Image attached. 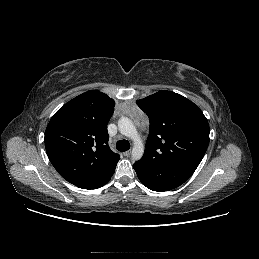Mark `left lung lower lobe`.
<instances>
[{"mask_svg": "<svg viewBox=\"0 0 259 259\" xmlns=\"http://www.w3.org/2000/svg\"><path fill=\"white\" fill-rule=\"evenodd\" d=\"M141 183L153 191H168L174 189L193 174L165 163L142 158L133 165Z\"/></svg>", "mask_w": 259, "mask_h": 259, "instance_id": "obj_1", "label": "left lung lower lobe"}]
</instances>
